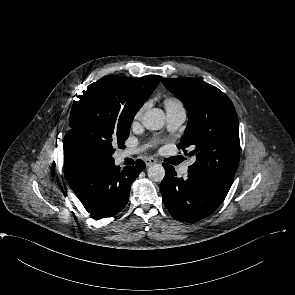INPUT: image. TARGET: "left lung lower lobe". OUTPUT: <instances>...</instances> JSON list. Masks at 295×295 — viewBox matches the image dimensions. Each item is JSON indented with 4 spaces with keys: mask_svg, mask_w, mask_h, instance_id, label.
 Returning <instances> with one entry per match:
<instances>
[{
    "mask_svg": "<svg viewBox=\"0 0 295 295\" xmlns=\"http://www.w3.org/2000/svg\"><path fill=\"white\" fill-rule=\"evenodd\" d=\"M166 174L160 185L162 200L175 220L196 222L212 214L226 195L216 191L206 181L189 174L176 177L174 167L163 164Z\"/></svg>",
    "mask_w": 295,
    "mask_h": 295,
    "instance_id": "0a47b994",
    "label": "left lung lower lobe"
}]
</instances>
